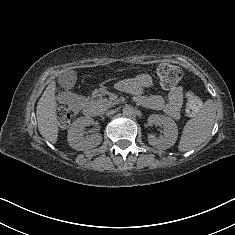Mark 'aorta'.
Returning a JSON list of instances; mask_svg holds the SVG:
<instances>
[{
  "mask_svg": "<svg viewBox=\"0 0 235 235\" xmlns=\"http://www.w3.org/2000/svg\"><path fill=\"white\" fill-rule=\"evenodd\" d=\"M122 113L124 116L130 117L134 113V109L131 105H125L122 109Z\"/></svg>",
  "mask_w": 235,
  "mask_h": 235,
  "instance_id": "obj_1",
  "label": "aorta"
}]
</instances>
